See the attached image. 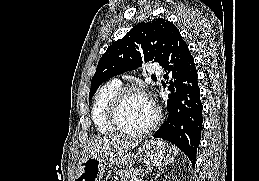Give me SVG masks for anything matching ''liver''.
<instances>
[{"label":"liver","mask_w":259,"mask_h":181,"mask_svg":"<svg viewBox=\"0 0 259 181\" xmlns=\"http://www.w3.org/2000/svg\"><path fill=\"white\" fill-rule=\"evenodd\" d=\"M139 144L138 141H124L117 138L99 137L85 146L82 154L85 155L90 151H128L135 148Z\"/></svg>","instance_id":"6515ba94"}]
</instances>
